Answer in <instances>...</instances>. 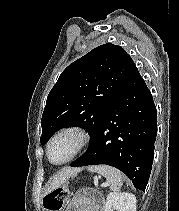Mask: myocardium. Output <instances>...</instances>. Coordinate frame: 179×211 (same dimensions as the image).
Wrapping results in <instances>:
<instances>
[{
  "instance_id": "myocardium-1",
  "label": "myocardium",
  "mask_w": 179,
  "mask_h": 211,
  "mask_svg": "<svg viewBox=\"0 0 179 211\" xmlns=\"http://www.w3.org/2000/svg\"><path fill=\"white\" fill-rule=\"evenodd\" d=\"M64 135L74 136L76 139V144H75L74 150L72 151L69 157H67L65 160L61 162L55 163L50 159V156H49L50 147L56 139ZM89 140H90L89 133L87 129L84 128L83 126L77 125V124H70V125L63 126L59 130H57L48 140L46 144V150H45L46 158L48 162L52 165H55V166L65 165L69 163L70 161H72L75 157H77L86 148V146L89 143Z\"/></svg>"
}]
</instances>
